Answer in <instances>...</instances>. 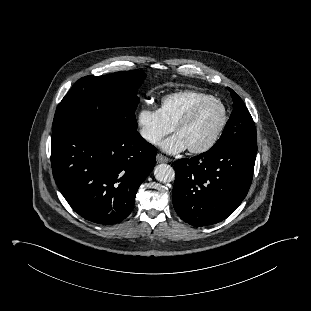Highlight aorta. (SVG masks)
I'll use <instances>...</instances> for the list:
<instances>
[{
  "label": "aorta",
  "mask_w": 311,
  "mask_h": 311,
  "mask_svg": "<svg viewBox=\"0 0 311 311\" xmlns=\"http://www.w3.org/2000/svg\"><path fill=\"white\" fill-rule=\"evenodd\" d=\"M154 175L156 180L162 183H168L174 180V169L168 164H159L154 169Z\"/></svg>",
  "instance_id": "1"
}]
</instances>
